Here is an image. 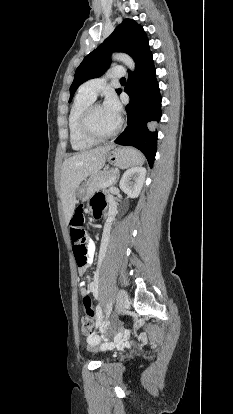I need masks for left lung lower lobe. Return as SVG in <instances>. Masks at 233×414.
Listing matches in <instances>:
<instances>
[{"label":"left lung lower lobe","instance_id":"1","mask_svg":"<svg viewBox=\"0 0 233 414\" xmlns=\"http://www.w3.org/2000/svg\"><path fill=\"white\" fill-rule=\"evenodd\" d=\"M124 91L130 96L126 107L127 127L114 142L139 149L152 167L157 151L154 125L161 118V95L152 54L136 67L134 73L129 71Z\"/></svg>","mask_w":233,"mask_h":414}]
</instances>
